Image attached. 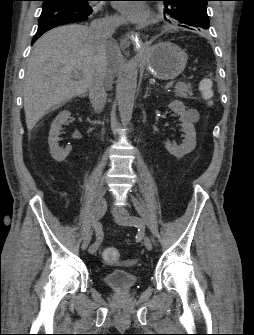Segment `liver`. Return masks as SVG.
<instances>
[{"mask_svg":"<svg viewBox=\"0 0 254 335\" xmlns=\"http://www.w3.org/2000/svg\"><path fill=\"white\" fill-rule=\"evenodd\" d=\"M118 44L92 41L84 25H64L44 34L27 65L23 98L26 125L31 131L50 110L88 91L89 79L100 66L106 69L108 89L120 70Z\"/></svg>","mask_w":254,"mask_h":335,"instance_id":"1","label":"liver"}]
</instances>
